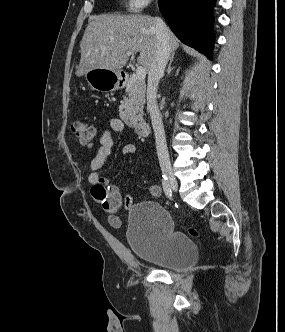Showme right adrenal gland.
I'll use <instances>...</instances> for the list:
<instances>
[{
  "instance_id": "1",
  "label": "right adrenal gland",
  "mask_w": 285,
  "mask_h": 332,
  "mask_svg": "<svg viewBox=\"0 0 285 332\" xmlns=\"http://www.w3.org/2000/svg\"><path fill=\"white\" fill-rule=\"evenodd\" d=\"M174 55H175V53H172L171 57H170V62H169L168 67H167V74L168 75L170 74L171 70L174 68V67H172V62H173V59H174Z\"/></svg>"
}]
</instances>
